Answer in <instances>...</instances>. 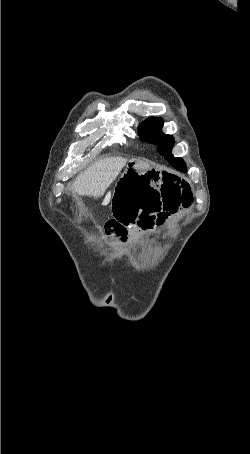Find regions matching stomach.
Listing matches in <instances>:
<instances>
[{
    "label": "stomach",
    "mask_w": 250,
    "mask_h": 454,
    "mask_svg": "<svg viewBox=\"0 0 250 454\" xmlns=\"http://www.w3.org/2000/svg\"><path fill=\"white\" fill-rule=\"evenodd\" d=\"M121 176H156V171L139 162H129Z\"/></svg>",
    "instance_id": "stomach-1"
}]
</instances>
